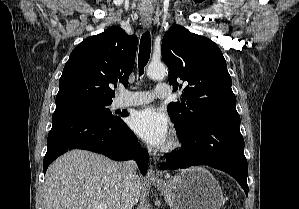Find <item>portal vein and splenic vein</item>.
Listing matches in <instances>:
<instances>
[{
  "label": "portal vein and splenic vein",
  "mask_w": 299,
  "mask_h": 209,
  "mask_svg": "<svg viewBox=\"0 0 299 209\" xmlns=\"http://www.w3.org/2000/svg\"><path fill=\"white\" fill-rule=\"evenodd\" d=\"M95 209H107V206L105 204L99 203V202H95Z\"/></svg>",
  "instance_id": "obj_1"
}]
</instances>
